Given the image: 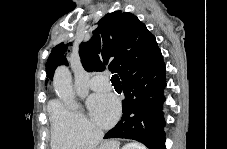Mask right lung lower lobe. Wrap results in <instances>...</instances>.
I'll use <instances>...</instances> for the list:
<instances>
[{"label": "right lung lower lobe", "mask_w": 227, "mask_h": 149, "mask_svg": "<svg viewBox=\"0 0 227 149\" xmlns=\"http://www.w3.org/2000/svg\"><path fill=\"white\" fill-rule=\"evenodd\" d=\"M166 86L163 57L122 79L123 116L104 138H127L150 149H165L163 89Z\"/></svg>", "instance_id": "98d812e1"}]
</instances>
